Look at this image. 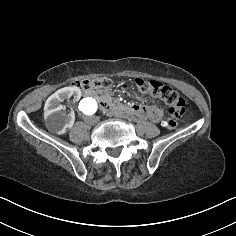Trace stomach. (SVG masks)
I'll return each instance as SVG.
<instances>
[{"label": "stomach", "instance_id": "obj_1", "mask_svg": "<svg viewBox=\"0 0 236 236\" xmlns=\"http://www.w3.org/2000/svg\"><path fill=\"white\" fill-rule=\"evenodd\" d=\"M123 89L127 90V95L130 96L131 98H134L135 100H140L142 103H147L148 102V97L147 96H142L140 93H137L133 89H130V84L129 83H124L123 84Z\"/></svg>", "mask_w": 236, "mask_h": 236}]
</instances>
